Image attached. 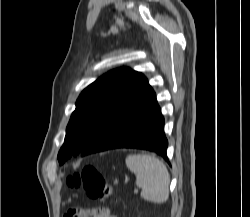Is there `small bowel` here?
Segmentation results:
<instances>
[{
  "label": "small bowel",
  "mask_w": 250,
  "mask_h": 217,
  "mask_svg": "<svg viewBox=\"0 0 250 217\" xmlns=\"http://www.w3.org/2000/svg\"><path fill=\"white\" fill-rule=\"evenodd\" d=\"M73 217H79L77 214H75ZM93 217H116L114 215H112L108 210L106 209H100L98 211H96L93 214Z\"/></svg>",
  "instance_id": "obj_1"
}]
</instances>
